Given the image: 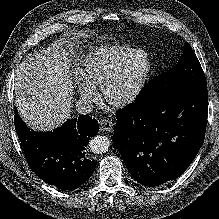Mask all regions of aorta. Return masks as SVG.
Returning <instances> with one entry per match:
<instances>
[{"label": "aorta", "mask_w": 219, "mask_h": 219, "mask_svg": "<svg viewBox=\"0 0 219 219\" xmlns=\"http://www.w3.org/2000/svg\"><path fill=\"white\" fill-rule=\"evenodd\" d=\"M110 145L111 142L106 136L97 135L89 141V147L91 151L96 154H102L107 152Z\"/></svg>", "instance_id": "1"}]
</instances>
